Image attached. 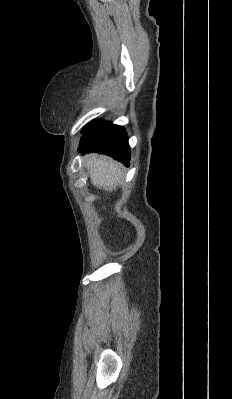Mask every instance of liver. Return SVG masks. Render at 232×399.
<instances>
[{
    "mask_svg": "<svg viewBox=\"0 0 232 399\" xmlns=\"http://www.w3.org/2000/svg\"><path fill=\"white\" fill-rule=\"evenodd\" d=\"M85 166L90 174L91 184L100 190L113 192L116 186L121 184L122 178L121 164L106 158V156H97V154H89L84 158Z\"/></svg>",
    "mask_w": 232,
    "mask_h": 399,
    "instance_id": "6515ba94",
    "label": "liver"
}]
</instances>
